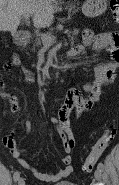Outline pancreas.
Returning <instances> with one entry per match:
<instances>
[{"label":"pancreas","mask_w":119,"mask_h":185,"mask_svg":"<svg viewBox=\"0 0 119 185\" xmlns=\"http://www.w3.org/2000/svg\"><path fill=\"white\" fill-rule=\"evenodd\" d=\"M78 32H79V30L76 29V30H74L73 34L76 35V34H78ZM41 35H43V34H41ZM41 35L37 34L35 36V39H34L35 46H40L43 43ZM44 35L51 36V33L49 32V33H46Z\"/></svg>","instance_id":"pancreas-1"}]
</instances>
